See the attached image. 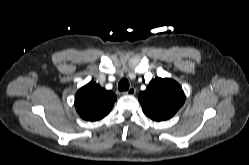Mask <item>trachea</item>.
<instances>
[{
    "label": "trachea",
    "mask_w": 249,
    "mask_h": 165,
    "mask_svg": "<svg viewBox=\"0 0 249 165\" xmlns=\"http://www.w3.org/2000/svg\"><path fill=\"white\" fill-rule=\"evenodd\" d=\"M118 89L120 91H127L129 89V82L127 79H122L118 84Z\"/></svg>",
    "instance_id": "3493384b"
}]
</instances>
